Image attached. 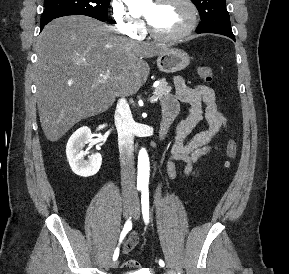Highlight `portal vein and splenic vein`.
Returning <instances> with one entry per match:
<instances>
[{
    "instance_id": "obj_1",
    "label": "portal vein and splenic vein",
    "mask_w": 289,
    "mask_h": 274,
    "mask_svg": "<svg viewBox=\"0 0 289 274\" xmlns=\"http://www.w3.org/2000/svg\"><path fill=\"white\" fill-rule=\"evenodd\" d=\"M108 76H104V79H107ZM158 101V97L156 95H153L151 98H150V102L154 103V102H157Z\"/></svg>"
}]
</instances>
